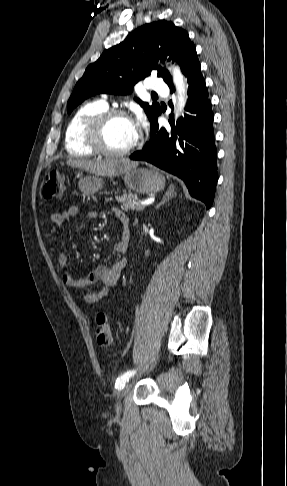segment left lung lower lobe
<instances>
[{"label":"left lung lower lobe","instance_id":"1","mask_svg":"<svg viewBox=\"0 0 287 486\" xmlns=\"http://www.w3.org/2000/svg\"><path fill=\"white\" fill-rule=\"evenodd\" d=\"M183 74L189 84L184 118L181 117L175 125L171 115V130H166L157 122L160 111L151 122L149 142L130 159L149 162L183 179L190 194L203 201L208 209L213 203L218 179L212 126L214 116L197 57ZM168 86L173 92V83Z\"/></svg>","mask_w":287,"mask_h":486}]
</instances>
